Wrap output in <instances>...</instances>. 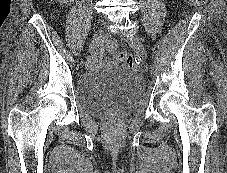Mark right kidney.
<instances>
[{
	"instance_id": "obj_1",
	"label": "right kidney",
	"mask_w": 227,
	"mask_h": 173,
	"mask_svg": "<svg viewBox=\"0 0 227 173\" xmlns=\"http://www.w3.org/2000/svg\"><path fill=\"white\" fill-rule=\"evenodd\" d=\"M57 1L60 2V3H67V2H71L73 0H57Z\"/></svg>"
}]
</instances>
